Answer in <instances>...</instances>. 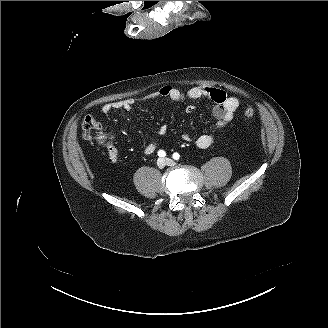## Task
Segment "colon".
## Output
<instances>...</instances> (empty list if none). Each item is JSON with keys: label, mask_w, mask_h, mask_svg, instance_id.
<instances>
[{"label": "colon", "mask_w": 328, "mask_h": 328, "mask_svg": "<svg viewBox=\"0 0 328 328\" xmlns=\"http://www.w3.org/2000/svg\"><path fill=\"white\" fill-rule=\"evenodd\" d=\"M244 115L247 118H252L255 115V110L252 107H248L244 111ZM82 129L84 137L90 140H97L100 142H106L105 135L101 132L100 123L91 116H86L82 122Z\"/></svg>", "instance_id": "1"}]
</instances>
